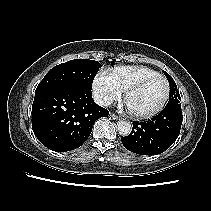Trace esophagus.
<instances>
[{"instance_id": "1", "label": "esophagus", "mask_w": 211, "mask_h": 211, "mask_svg": "<svg viewBox=\"0 0 211 211\" xmlns=\"http://www.w3.org/2000/svg\"><path fill=\"white\" fill-rule=\"evenodd\" d=\"M110 117L112 118V119H114V120H118V119H120V117L119 116H117L116 114H114V113H110Z\"/></svg>"}]
</instances>
